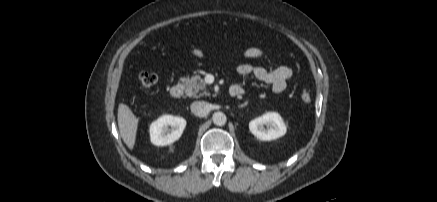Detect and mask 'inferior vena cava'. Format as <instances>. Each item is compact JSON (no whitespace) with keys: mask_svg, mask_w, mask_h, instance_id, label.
Returning <instances> with one entry per match:
<instances>
[{"mask_svg":"<svg viewBox=\"0 0 437 202\" xmlns=\"http://www.w3.org/2000/svg\"><path fill=\"white\" fill-rule=\"evenodd\" d=\"M209 111V104L204 101H195L191 104V112L196 116L204 117Z\"/></svg>","mask_w":437,"mask_h":202,"instance_id":"obj_1","label":"inferior vena cava"}]
</instances>
